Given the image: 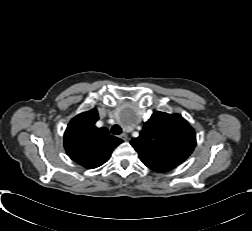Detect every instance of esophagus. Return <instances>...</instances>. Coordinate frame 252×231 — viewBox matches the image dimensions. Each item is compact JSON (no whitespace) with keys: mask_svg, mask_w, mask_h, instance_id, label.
I'll return each instance as SVG.
<instances>
[{"mask_svg":"<svg viewBox=\"0 0 252 231\" xmlns=\"http://www.w3.org/2000/svg\"><path fill=\"white\" fill-rule=\"evenodd\" d=\"M120 138L123 139L124 141H126L128 139L127 135L125 133H122L120 135Z\"/></svg>","mask_w":252,"mask_h":231,"instance_id":"obj_1","label":"esophagus"}]
</instances>
